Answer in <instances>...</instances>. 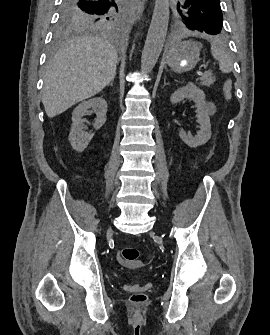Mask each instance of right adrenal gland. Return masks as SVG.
Segmentation results:
<instances>
[{
    "label": "right adrenal gland",
    "mask_w": 270,
    "mask_h": 335,
    "mask_svg": "<svg viewBox=\"0 0 270 335\" xmlns=\"http://www.w3.org/2000/svg\"><path fill=\"white\" fill-rule=\"evenodd\" d=\"M113 82H114V78H113V80H111L110 86H113Z\"/></svg>",
    "instance_id": "obj_1"
}]
</instances>
